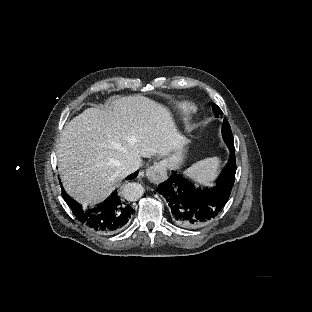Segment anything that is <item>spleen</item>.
<instances>
[{"label": "spleen", "instance_id": "1", "mask_svg": "<svg viewBox=\"0 0 312 312\" xmlns=\"http://www.w3.org/2000/svg\"><path fill=\"white\" fill-rule=\"evenodd\" d=\"M218 165V158H206L196 162L188 169H186L185 174L189 176L194 182L208 181L215 177L218 173ZM206 185H208V183L204 182L203 186Z\"/></svg>", "mask_w": 312, "mask_h": 312}]
</instances>
